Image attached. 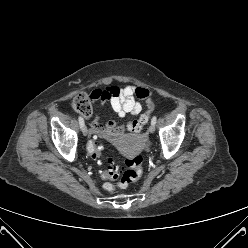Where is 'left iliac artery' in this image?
Returning <instances> with one entry per match:
<instances>
[{"mask_svg": "<svg viewBox=\"0 0 248 248\" xmlns=\"http://www.w3.org/2000/svg\"><path fill=\"white\" fill-rule=\"evenodd\" d=\"M156 121H157V117L154 116L151 120V124L155 125L156 124Z\"/></svg>", "mask_w": 248, "mask_h": 248, "instance_id": "1", "label": "left iliac artery"}]
</instances>
